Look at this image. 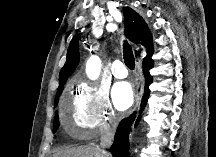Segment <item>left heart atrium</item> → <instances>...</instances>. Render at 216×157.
Segmentation results:
<instances>
[{
  "mask_svg": "<svg viewBox=\"0 0 216 157\" xmlns=\"http://www.w3.org/2000/svg\"><path fill=\"white\" fill-rule=\"evenodd\" d=\"M112 99L115 107L121 111L129 108L133 102V90L129 83L119 82L112 89Z\"/></svg>",
  "mask_w": 216,
  "mask_h": 157,
  "instance_id": "39dd6f15",
  "label": "left heart atrium"
}]
</instances>
